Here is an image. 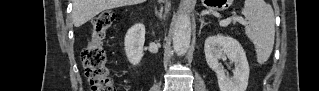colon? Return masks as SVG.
I'll return each instance as SVG.
<instances>
[{"instance_id":"5ec220e1","label":"colon","mask_w":319,"mask_h":91,"mask_svg":"<svg viewBox=\"0 0 319 91\" xmlns=\"http://www.w3.org/2000/svg\"><path fill=\"white\" fill-rule=\"evenodd\" d=\"M114 22L110 11L100 13L91 24V36L82 51L85 74L93 91H115V84L107 66V55L103 40Z\"/></svg>"}]
</instances>
